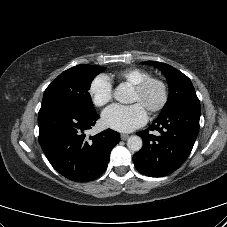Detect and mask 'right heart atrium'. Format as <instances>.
I'll return each mask as SVG.
<instances>
[{
	"instance_id": "1",
	"label": "right heart atrium",
	"mask_w": 227,
	"mask_h": 227,
	"mask_svg": "<svg viewBox=\"0 0 227 227\" xmlns=\"http://www.w3.org/2000/svg\"><path fill=\"white\" fill-rule=\"evenodd\" d=\"M88 92L95 106H105L113 97V89L110 79L106 75H98L90 83Z\"/></svg>"
}]
</instances>
